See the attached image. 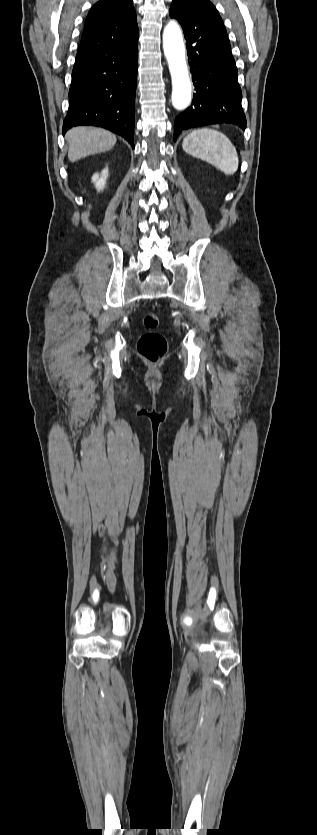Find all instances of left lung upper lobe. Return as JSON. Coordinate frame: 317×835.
Segmentation results:
<instances>
[{
  "label": "left lung upper lobe",
  "instance_id": "obj_1",
  "mask_svg": "<svg viewBox=\"0 0 317 835\" xmlns=\"http://www.w3.org/2000/svg\"><path fill=\"white\" fill-rule=\"evenodd\" d=\"M178 9H185L189 12V14H184L179 12ZM210 13L219 15L218 11L215 9L213 4L209 0H173L172 5L170 7V15L176 19L181 24H185L188 21V17L190 13Z\"/></svg>",
  "mask_w": 317,
  "mask_h": 835
}]
</instances>
